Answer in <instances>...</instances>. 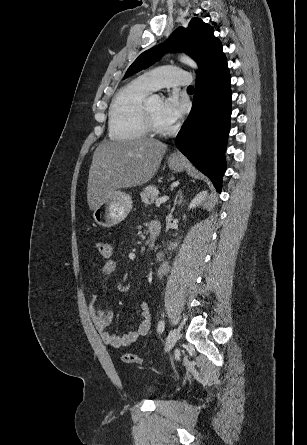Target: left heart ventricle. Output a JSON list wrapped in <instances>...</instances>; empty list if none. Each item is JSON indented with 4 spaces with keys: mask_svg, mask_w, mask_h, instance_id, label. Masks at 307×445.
<instances>
[{
    "mask_svg": "<svg viewBox=\"0 0 307 445\" xmlns=\"http://www.w3.org/2000/svg\"><path fill=\"white\" fill-rule=\"evenodd\" d=\"M163 101L161 96L154 95L151 99L150 107L155 122L162 128H169L172 125L167 123L162 116Z\"/></svg>",
    "mask_w": 307,
    "mask_h": 445,
    "instance_id": "obj_1",
    "label": "left heart ventricle"
}]
</instances>
